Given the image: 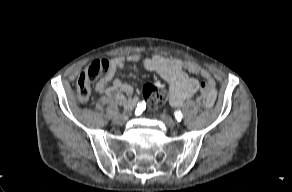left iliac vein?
<instances>
[{"mask_svg":"<svg viewBox=\"0 0 292 192\" xmlns=\"http://www.w3.org/2000/svg\"><path fill=\"white\" fill-rule=\"evenodd\" d=\"M160 119L165 123V125L169 128H174L176 126V122L165 114L160 115Z\"/></svg>","mask_w":292,"mask_h":192,"instance_id":"left-iliac-vein-1","label":"left iliac vein"}]
</instances>
